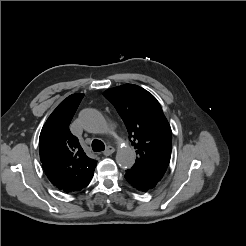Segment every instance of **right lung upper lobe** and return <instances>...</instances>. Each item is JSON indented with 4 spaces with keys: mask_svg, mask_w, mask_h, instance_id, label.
<instances>
[{
    "mask_svg": "<svg viewBox=\"0 0 246 246\" xmlns=\"http://www.w3.org/2000/svg\"><path fill=\"white\" fill-rule=\"evenodd\" d=\"M84 94L63 100L44 124L39 138L40 160L50 182L65 193L80 191L91 181L96 161L83 151L69 129Z\"/></svg>",
    "mask_w": 246,
    "mask_h": 246,
    "instance_id": "cb5924a9",
    "label": "right lung upper lobe"
}]
</instances>
